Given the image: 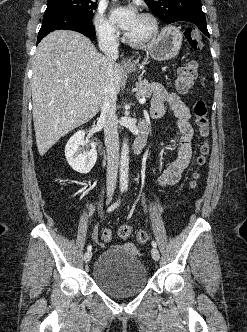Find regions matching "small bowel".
I'll use <instances>...</instances> for the list:
<instances>
[{
  "mask_svg": "<svg viewBox=\"0 0 247 332\" xmlns=\"http://www.w3.org/2000/svg\"><path fill=\"white\" fill-rule=\"evenodd\" d=\"M167 108H170L177 117L180 142L176 159L158 178V183L162 186H172L180 181L184 171L190 164L193 151V129L189 122L191 116L189 109L178 95L170 93L165 88L157 85L154 87V96L151 100L150 116L160 118L165 114ZM93 238L97 239L96 229L93 231Z\"/></svg>",
  "mask_w": 247,
  "mask_h": 332,
  "instance_id": "small-bowel-1",
  "label": "small bowel"
}]
</instances>
